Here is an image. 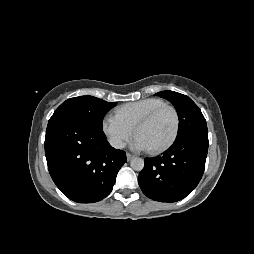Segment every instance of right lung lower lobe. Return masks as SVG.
I'll return each mask as SVG.
<instances>
[{"label": "right lung lower lobe", "mask_w": 254, "mask_h": 254, "mask_svg": "<svg viewBox=\"0 0 254 254\" xmlns=\"http://www.w3.org/2000/svg\"><path fill=\"white\" fill-rule=\"evenodd\" d=\"M45 155L54 183L79 203L108 196L127 161L126 153L113 148L102 129L69 117L48 122Z\"/></svg>", "instance_id": "98d812e1"}]
</instances>
